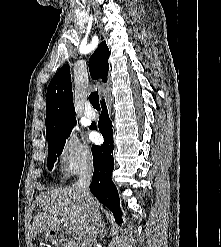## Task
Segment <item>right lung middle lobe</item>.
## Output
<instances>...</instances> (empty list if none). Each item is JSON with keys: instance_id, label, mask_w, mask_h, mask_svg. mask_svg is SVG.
<instances>
[{"instance_id": "1", "label": "right lung middle lobe", "mask_w": 221, "mask_h": 247, "mask_svg": "<svg viewBox=\"0 0 221 247\" xmlns=\"http://www.w3.org/2000/svg\"><path fill=\"white\" fill-rule=\"evenodd\" d=\"M74 125H75V123L68 126L61 133H59L53 137L47 138L48 153H49L48 158H47V160H48L47 166L49 169L53 168L57 156L61 155L63 148H64V145H65V142H66V139L69 137Z\"/></svg>"}]
</instances>
